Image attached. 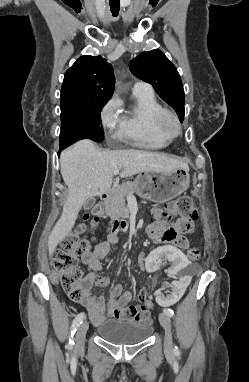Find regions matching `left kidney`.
Listing matches in <instances>:
<instances>
[{"mask_svg":"<svg viewBox=\"0 0 249 382\" xmlns=\"http://www.w3.org/2000/svg\"><path fill=\"white\" fill-rule=\"evenodd\" d=\"M190 263L178 245L159 247L145 260L138 261V266L146 267L147 273H159L160 277H164L153 292L154 301L158 302L159 307H175L176 302H180L182 293H186L188 284L193 283L192 277L196 276L195 270L186 269Z\"/></svg>","mask_w":249,"mask_h":382,"instance_id":"left-kidney-1","label":"left kidney"}]
</instances>
